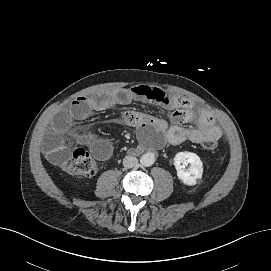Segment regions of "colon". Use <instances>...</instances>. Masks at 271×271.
<instances>
[{"instance_id": "colon-1", "label": "colon", "mask_w": 271, "mask_h": 271, "mask_svg": "<svg viewBox=\"0 0 271 271\" xmlns=\"http://www.w3.org/2000/svg\"><path fill=\"white\" fill-rule=\"evenodd\" d=\"M219 139L209 137L202 141L204 150L212 151L218 147ZM62 169L72 176L89 177L96 173V163L90 154L84 149H76L71 157L62 164Z\"/></svg>"}]
</instances>
